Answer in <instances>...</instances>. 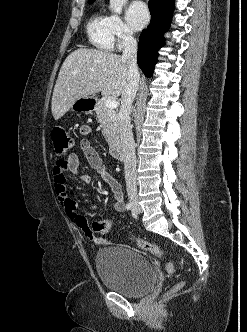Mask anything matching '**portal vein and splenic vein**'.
<instances>
[{"label":"portal vein and splenic vein","instance_id":"18ae733b","mask_svg":"<svg viewBox=\"0 0 247 332\" xmlns=\"http://www.w3.org/2000/svg\"><path fill=\"white\" fill-rule=\"evenodd\" d=\"M105 105L109 109H115L118 106V102L114 98H109L105 101Z\"/></svg>","mask_w":247,"mask_h":332}]
</instances>
